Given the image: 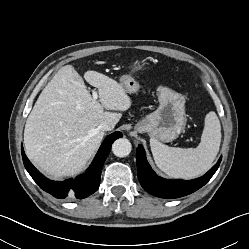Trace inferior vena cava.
I'll use <instances>...</instances> for the list:
<instances>
[{"instance_id": "1", "label": "inferior vena cava", "mask_w": 249, "mask_h": 249, "mask_svg": "<svg viewBox=\"0 0 249 249\" xmlns=\"http://www.w3.org/2000/svg\"><path fill=\"white\" fill-rule=\"evenodd\" d=\"M99 129L102 130V131H109V130H112L113 127L109 123H107V122H102L99 125Z\"/></svg>"}]
</instances>
